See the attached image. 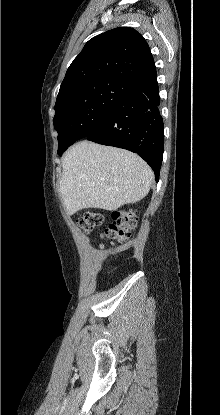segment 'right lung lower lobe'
Segmentation results:
<instances>
[{"mask_svg":"<svg viewBox=\"0 0 220 415\" xmlns=\"http://www.w3.org/2000/svg\"><path fill=\"white\" fill-rule=\"evenodd\" d=\"M157 76L136 86L107 114L88 140L138 153L153 169L156 182L163 158L164 125L159 112ZM67 148L58 152L61 156Z\"/></svg>","mask_w":220,"mask_h":415,"instance_id":"obj_1","label":"right lung lower lobe"}]
</instances>
